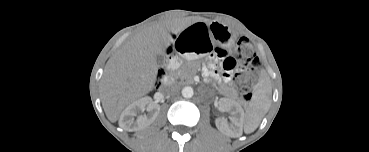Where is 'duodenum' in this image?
<instances>
[{"label": "duodenum", "instance_id": "duodenum-1", "mask_svg": "<svg viewBox=\"0 0 369 152\" xmlns=\"http://www.w3.org/2000/svg\"><path fill=\"white\" fill-rule=\"evenodd\" d=\"M171 81V76H170V72L168 71V73H166V75L164 76V83H170Z\"/></svg>", "mask_w": 369, "mask_h": 152}]
</instances>
